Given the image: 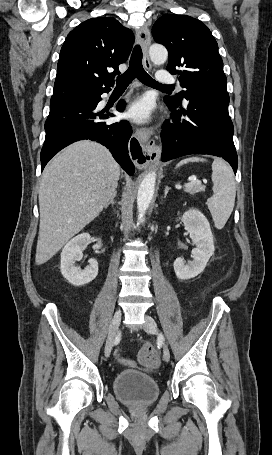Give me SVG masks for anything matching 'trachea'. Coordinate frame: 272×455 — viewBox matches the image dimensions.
<instances>
[{
  "label": "trachea",
  "mask_w": 272,
  "mask_h": 455,
  "mask_svg": "<svg viewBox=\"0 0 272 455\" xmlns=\"http://www.w3.org/2000/svg\"><path fill=\"white\" fill-rule=\"evenodd\" d=\"M135 78L147 86L171 88V85H163L152 79L144 70L142 65V50L139 45L133 49L130 64L126 72L121 74L116 79V87H127Z\"/></svg>",
  "instance_id": "3493384b"
}]
</instances>
